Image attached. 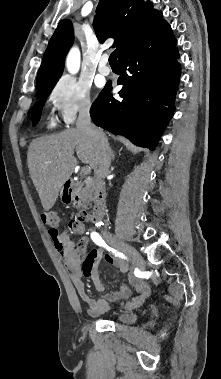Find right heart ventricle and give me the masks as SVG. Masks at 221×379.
Instances as JSON below:
<instances>
[{
    "label": "right heart ventricle",
    "mask_w": 221,
    "mask_h": 379,
    "mask_svg": "<svg viewBox=\"0 0 221 379\" xmlns=\"http://www.w3.org/2000/svg\"><path fill=\"white\" fill-rule=\"evenodd\" d=\"M53 125H54V121L51 120V121L49 122V126H53Z\"/></svg>",
    "instance_id": "1"
}]
</instances>
